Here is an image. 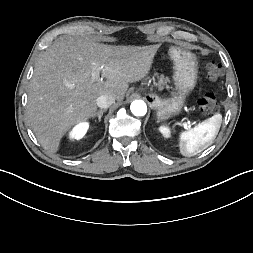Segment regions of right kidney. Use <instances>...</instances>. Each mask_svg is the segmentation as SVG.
I'll use <instances>...</instances> for the list:
<instances>
[{"instance_id": "ca27d5eb", "label": "right kidney", "mask_w": 253, "mask_h": 253, "mask_svg": "<svg viewBox=\"0 0 253 253\" xmlns=\"http://www.w3.org/2000/svg\"><path fill=\"white\" fill-rule=\"evenodd\" d=\"M88 127H89L88 123L78 124L71 132L70 134L71 138H74L77 140L81 139L86 134Z\"/></svg>"}]
</instances>
